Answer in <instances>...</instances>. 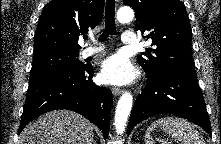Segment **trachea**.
Listing matches in <instances>:
<instances>
[{
  "mask_svg": "<svg viewBox=\"0 0 221 144\" xmlns=\"http://www.w3.org/2000/svg\"><path fill=\"white\" fill-rule=\"evenodd\" d=\"M115 0H106L105 7V29L99 37V41H104L110 34H116L115 26Z\"/></svg>",
  "mask_w": 221,
  "mask_h": 144,
  "instance_id": "3493384b",
  "label": "trachea"
}]
</instances>
